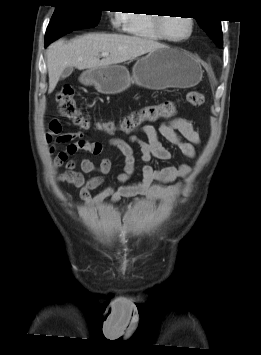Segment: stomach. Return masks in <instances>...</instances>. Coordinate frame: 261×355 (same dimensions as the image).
<instances>
[{
	"mask_svg": "<svg viewBox=\"0 0 261 355\" xmlns=\"http://www.w3.org/2000/svg\"><path fill=\"white\" fill-rule=\"evenodd\" d=\"M202 74L200 63L190 54L163 46L139 58L132 75L125 66L113 64L89 69L82 74L81 80L94 85L102 94H117L133 83L153 90L188 88L198 84Z\"/></svg>",
	"mask_w": 261,
	"mask_h": 355,
	"instance_id": "obj_1",
	"label": "stomach"
}]
</instances>
